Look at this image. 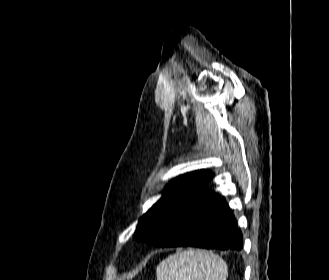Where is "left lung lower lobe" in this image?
<instances>
[{"instance_id": "left-lung-lower-lobe-1", "label": "left lung lower lobe", "mask_w": 329, "mask_h": 280, "mask_svg": "<svg viewBox=\"0 0 329 280\" xmlns=\"http://www.w3.org/2000/svg\"><path fill=\"white\" fill-rule=\"evenodd\" d=\"M172 220L161 234L169 236L165 247L194 246L207 249L243 248L242 233L224 199L203 193L172 210Z\"/></svg>"}]
</instances>
